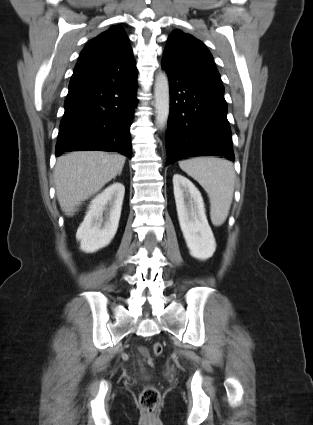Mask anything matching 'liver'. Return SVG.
Instances as JSON below:
<instances>
[{
	"instance_id": "obj_1",
	"label": "liver",
	"mask_w": 313,
	"mask_h": 425,
	"mask_svg": "<svg viewBox=\"0 0 313 425\" xmlns=\"http://www.w3.org/2000/svg\"><path fill=\"white\" fill-rule=\"evenodd\" d=\"M126 157L102 151H78L57 159L54 171L61 210L72 216L76 207L122 171Z\"/></svg>"
}]
</instances>
